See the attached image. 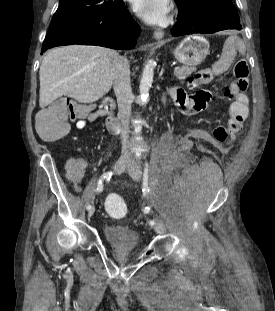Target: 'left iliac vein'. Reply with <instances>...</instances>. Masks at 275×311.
I'll return each instance as SVG.
<instances>
[{"label": "left iliac vein", "mask_w": 275, "mask_h": 311, "mask_svg": "<svg viewBox=\"0 0 275 311\" xmlns=\"http://www.w3.org/2000/svg\"><path fill=\"white\" fill-rule=\"evenodd\" d=\"M128 171L130 176L135 180V181H140L141 177H142V172L139 166H137L135 164V162H132V165H130L128 167ZM154 230L159 233L162 234L164 233V226L160 221H156L155 225H154Z\"/></svg>", "instance_id": "left-iliac-vein-1"}]
</instances>
